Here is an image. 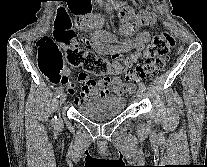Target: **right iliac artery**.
<instances>
[{
	"instance_id": "right-iliac-artery-1",
	"label": "right iliac artery",
	"mask_w": 207,
	"mask_h": 167,
	"mask_svg": "<svg viewBox=\"0 0 207 167\" xmlns=\"http://www.w3.org/2000/svg\"><path fill=\"white\" fill-rule=\"evenodd\" d=\"M62 92H63V87L60 86V87L57 89V91H56V95H57L58 98H59V96L62 94ZM53 123H54V124L57 123V116H54V118H53Z\"/></svg>"
}]
</instances>
